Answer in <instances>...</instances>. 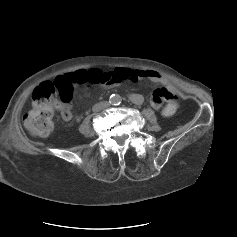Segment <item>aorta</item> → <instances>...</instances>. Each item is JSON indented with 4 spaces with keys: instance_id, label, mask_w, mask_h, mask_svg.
<instances>
[{
    "instance_id": "762f6f07",
    "label": "aorta",
    "mask_w": 237,
    "mask_h": 237,
    "mask_svg": "<svg viewBox=\"0 0 237 237\" xmlns=\"http://www.w3.org/2000/svg\"><path fill=\"white\" fill-rule=\"evenodd\" d=\"M110 103L113 105H119L121 103V97L117 94L110 96Z\"/></svg>"
}]
</instances>
